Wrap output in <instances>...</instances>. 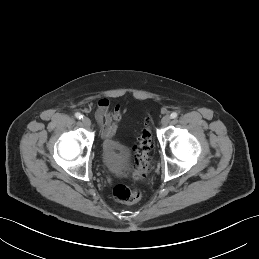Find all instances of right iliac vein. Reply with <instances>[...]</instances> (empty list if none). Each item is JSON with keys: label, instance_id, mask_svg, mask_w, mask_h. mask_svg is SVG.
I'll use <instances>...</instances> for the list:
<instances>
[{"label": "right iliac vein", "instance_id": "right-iliac-vein-1", "mask_svg": "<svg viewBox=\"0 0 259 259\" xmlns=\"http://www.w3.org/2000/svg\"><path fill=\"white\" fill-rule=\"evenodd\" d=\"M82 122H83V124H84L86 127H90V125H91V121H90V119H89L88 117H84V118L82 119Z\"/></svg>", "mask_w": 259, "mask_h": 259}]
</instances>
